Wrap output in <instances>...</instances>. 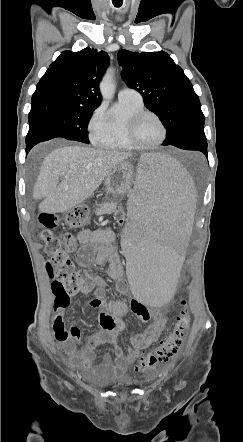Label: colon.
I'll return each instance as SVG.
<instances>
[{
	"label": "colon",
	"mask_w": 243,
	"mask_h": 442,
	"mask_svg": "<svg viewBox=\"0 0 243 442\" xmlns=\"http://www.w3.org/2000/svg\"><path fill=\"white\" fill-rule=\"evenodd\" d=\"M124 215L117 213V225H124ZM42 229L39 238L46 246L50 256L47 271L52 279L51 289L55 296L54 309L67 308L70 298L77 294L90 293L97 285L98 278L85 269H76L70 259V253L76 249L77 240L73 235L61 239L54 233L59 220L53 213L42 212L39 216ZM182 310L166 331L160 343L144 354L136 363V372L156 369L161 363L170 360L181 346L190 325V314L186 308L191 306L189 299L180 301Z\"/></svg>",
	"instance_id": "obj_1"
}]
</instances>
